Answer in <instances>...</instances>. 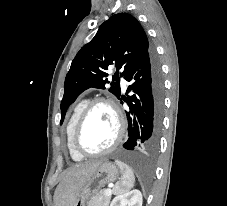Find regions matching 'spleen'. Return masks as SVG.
Returning <instances> with one entry per match:
<instances>
[{"instance_id": "1", "label": "spleen", "mask_w": 227, "mask_h": 206, "mask_svg": "<svg viewBox=\"0 0 227 206\" xmlns=\"http://www.w3.org/2000/svg\"><path fill=\"white\" fill-rule=\"evenodd\" d=\"M115 163L118 165L122 172V178L116 183L114 187L115 194H122L127 192L134 186L135 177L132 169L125 163L116 160Z\"/></svg>"}]
</instances>
